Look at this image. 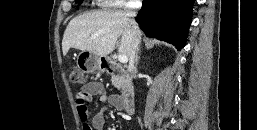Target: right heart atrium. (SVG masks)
<instances>
[{"label":"right heart atrium","instance_id":"1","mask_svg":"<svg viewBox=\"0 0 257 130\" xmlns=\"http://www.w3.org/2000/svg\"><path fill=\"white\" fill-rule=\"evenodd\" d=\"M138 0H98L102 7H126L135 4Z\"/></svg>","mask_w":257,"mask_h":130}]
</instances>
